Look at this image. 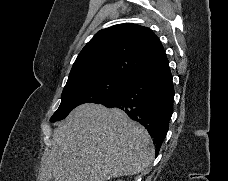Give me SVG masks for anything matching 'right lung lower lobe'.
Returning <instances> with one entry per match:
<instances>
[{"label": "right lung lower lobe", "instance_id": "obj_1", "mask_svg": "<svg viewBox=\"0 0 228 181\" xmlns=\"http://www.w3.org/2000/svg\"><path fill=\"white\" fill-rule=\"evenodd\" d=\"M173 101L174 87L166 59L132 77L120 93L100 104L120 108L140 122L153 138L157 155L168 131Z\"/></svg>", "mask_w": 228, "mask_h": 181}]
</instances>
